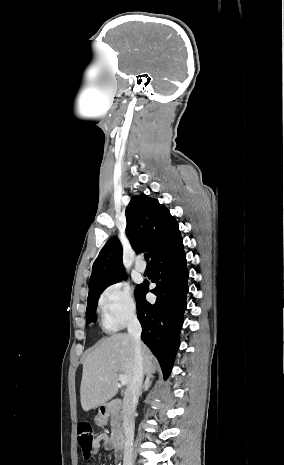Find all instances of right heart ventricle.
Returning a JSON list of instances; mask_svg holds the SVG:
<instances>
[{"mask_svg":"<svg viewBox=\"0 0 284 465\" xmlns=\"http://www.w3.org/2000/svg\"><path fill=\"white\" fill-rule=\"evenodd\" d=\"M101 325H102L103 329H106V330L111 328V323L105 317L102 318Z\"/></svg>","mask_w":284,"mask_h":465,"instance_id":"obj_1","label":"right heart ventricle"}]
</instances>
